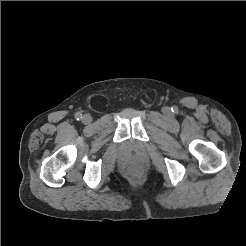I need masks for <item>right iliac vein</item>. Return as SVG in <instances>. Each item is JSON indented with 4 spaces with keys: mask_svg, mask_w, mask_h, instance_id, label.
I'll return each mask as SVG.
<instances>
[{
    "mask_svg": "<svg viewBox=\"0 0 246 246\" xmlns=\"http://www.w3.org/2000/svg\"><path fill=\"white\" fill-rule=\"evenodd\" d=\"M91 121H92V117H91L89 114H85V115L82 117V122H83L84 124H89Z\"/></svg>",
    "mask_w": 246,
    "mask_h": 246,
    "instance_id": "obj_1",
    "label": "right iliac vein"
}]
</instances>
